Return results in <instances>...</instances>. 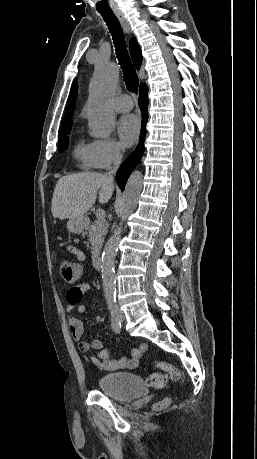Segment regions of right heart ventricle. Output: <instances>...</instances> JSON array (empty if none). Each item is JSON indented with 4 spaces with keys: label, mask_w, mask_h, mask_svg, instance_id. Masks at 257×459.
<instances>
[{
    "label": "right heart ventricle",
    "mask_w": 257,
    "mask_h": 459,
    "mask_svg": "<svg viewBox=\"0 0 257 459\" xmlns=\"http://www.w3.org/2000/svg\"><path fill=\"white\" fill-rule=\"evenodd\" d=\"M74 156L83 169L95 168L90 150V144L79 141L74 149Z\"/></svg>",
    "instance_id": "1"
}]
</instances>
